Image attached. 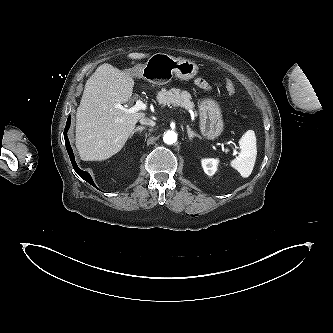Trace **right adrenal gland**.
Instances as JSON below:
<instances>
[{
	"instance_id": "right-adrenal-gland-1",
	"label": "right adrenal gland",
	"mask_w": 333,
	"mask_h": 333,
	"mask_svg": "<svg viewBox=\"0 0 333 333\" xmlns=\"http://www.w3.org/2000/svg\"><path fill=\"white\" fill-rule=\"evenodd\" d=\"M144 129H145V127H143V126H138V127H136V128L132 131V133L130 134V138H131L136 132L141 133Z\"/></svg>"
}]
</instances>
